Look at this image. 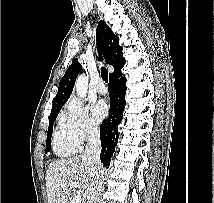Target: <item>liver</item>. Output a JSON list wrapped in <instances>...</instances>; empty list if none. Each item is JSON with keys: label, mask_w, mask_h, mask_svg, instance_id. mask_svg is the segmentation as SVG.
<instances>
[{"label": "liver", "mask_w": 214, "mask_h": 203, "mask_svg": "<svg viewBox=\"0 0 214 203\" xmlns=\"http://www.w3.org/2000/svg\"><path fill=\"white\" fill-rule=\"evenodd\" d=\"M89 173L90 165L82 156L51 163L45 177L48 203H66L71 191L68 185L70 181L77 184L76 192L83 196L84 202L90 185Z\"/></svg>", "instance_id": "6515ba94"}]
</instances>
